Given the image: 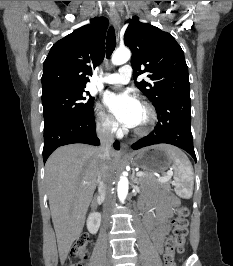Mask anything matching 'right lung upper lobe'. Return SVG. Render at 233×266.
<instances>
[{"label":"right lung upper lobe","mask_w":233,"mask_h":266,"mask_svg":"<svg viewBox=\"0 0 233 266\" xmlns=\"http://www.w3.org/2000/svg\"><path fill=\"white\" fill-rule=\"evenodd\" d=\"M105 17L94 18L57 41L44 61L42 95L68 89L85 88L92 75L91 66L104 59V41L108 27Z\"/></svg>","instance_id":"cb5924a9"}]
</instances>
